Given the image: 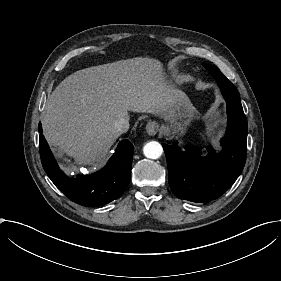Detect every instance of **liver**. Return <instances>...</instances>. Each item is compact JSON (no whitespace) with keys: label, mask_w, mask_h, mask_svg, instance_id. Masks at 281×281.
<instances>
[{"label":"liver","mask_w":281,"mask_h":281,"mask_svg":"<svg viewBox=\"0 0 281 281\" xmlns=\"http://www.w3.org/2000/svg\"><path fill=\"white\" fill-rule=\"evenodd\" d=\"M185 93L158 58L133 57L78 70L50 95L42 133L53 156L100 165L120 137L114 123L131 111L164 115ZM59 153V155L56 154Z\"/></svg>","instance_id":"6515ba94"}]
</instances>
